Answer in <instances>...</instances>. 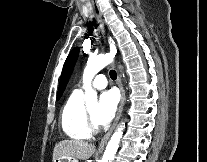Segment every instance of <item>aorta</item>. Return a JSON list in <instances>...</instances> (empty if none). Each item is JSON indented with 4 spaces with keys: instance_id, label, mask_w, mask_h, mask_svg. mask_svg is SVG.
Listing matches in <instances>:
<instances>
[{
    "instance_id": "762f6f07",
    "label": "aorta",
    "mask_w": 207,
    "mask_h": 162,
    "mask_svg": "<svg viewBox=\"0 0 207 162\" xmlns=\"http://www.w3.org/2000/svg\"><path fill=\"white\" fill-rule=\"evenodd\" d=\"M112 61L113 57L108 54H99L89 57L83 72V84L86 87L84 96L86 105L97 103V93L91 86L92 79L101 69L112 63ZM124 128L125 123L122 122L109 140L101 162H112L118 149L120 140L123 136Z\"/></svg>"
}]
</instances>
